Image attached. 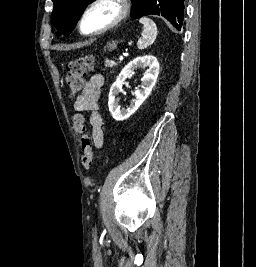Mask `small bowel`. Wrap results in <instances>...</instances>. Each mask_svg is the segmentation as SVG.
<instances>
[{
    "label": "small bowel",
    "instance_id": "c3829d8e",
    "mask_svg": "<svg viewBox=\"0 0 256 267\" xmlns=\"http://www.w3.org/2000/svg\"><path fill=\"white\" fill-rule=\"evenodd\" d=\"M104 84V76L102 74H93L90 78L84 81V86L80 95L75 99L74 108L81 114H89V121L91 125V140L92 144L100 149L104 143L103 122L102 118L97 112V102L100 95V89Z\"/></svg>",
    "mask_w": 256,
    "mask_h": 267
}]
</instances>
